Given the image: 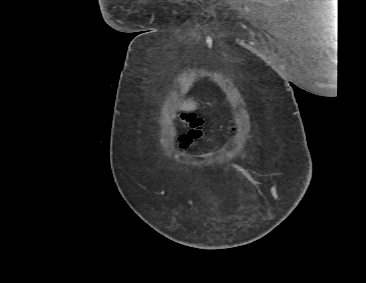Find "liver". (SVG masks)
I'll list each match as a JSON object with an SVG mask.
<instances>
[{
	"label": "liver",
	"mask_w": 366,
	"mask_h": 283,
	"mask_svg": "<svg viewBox=\"0 0 366 283\" xmlns=\"http://www.w3.org/2000/svg\"><path fill=\"white\" fill-rule=\"evenodd\" d=\"M196 109H197V103L194 101H185L180 106V110L187 112L194 111Z\"/></svg>",
	"instance_id": "liver-1"
}]
</instances>
